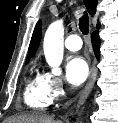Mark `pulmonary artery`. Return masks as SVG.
<instances>
[{"instance_id":"e3ab8cb5","label":"pulmonary artery","mask_w":118,"mask_h":123,"mask_svg":"<svg viewBox=\"0 0 118 123\" xmlns=\"http://www.w3.org/2000/svg\"><path fill=\"white\" fill-rule=\"evenodd\" d=\"M65 47L70 51H78L82 47V40L77 34H71L65 39Z\"/></svg>"}]
</instances>
